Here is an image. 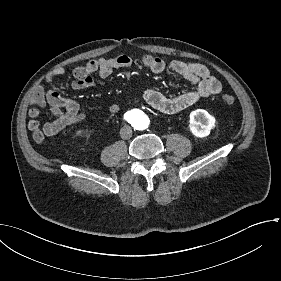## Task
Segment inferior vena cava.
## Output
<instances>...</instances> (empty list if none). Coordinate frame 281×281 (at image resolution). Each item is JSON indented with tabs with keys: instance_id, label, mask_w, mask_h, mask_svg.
Masks as SVG:
<instances>
[{
	"instance_id": "obj_1",
	"label": "inferior vena cava",
	"mask_w": 281,
	"mask_h": 281,
	"mask_svg": "<svg viewBox=\"0 0 281 281\" xmlns=\"http://www.w3.org/2000/svg\"><path fill=\"white\" fill-rule=\"evenodd\" d=\"M120 136L122 139H130L132 137V129L130 126H123L120 129Z\"/></svg>"
}]
</instances>
